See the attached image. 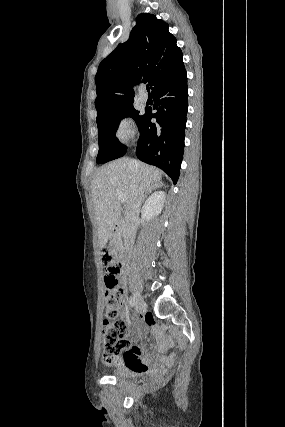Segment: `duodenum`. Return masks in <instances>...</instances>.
Returning <instances> with one entry per match:
<instances>
[{"label": "duodenum", "instance_id": "1", "mask_svg": "<svg viewBox=\"0 0 285 427\" xmlns=\"http://www.w3.org/2000/svg\"><path fill=\"white\" fill-rule=\"evenodd\" d=\"M112 230L128 231L131 228V220L129 218H117L111 225Z\"/></svg>", "mask_w": 285, "mask_h": 427}]
</instances>
